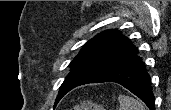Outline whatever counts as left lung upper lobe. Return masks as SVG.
<instances>
[{"mask_svg":"<svg viewBox=\"0 0 171 110\" xmlns=\"http://www.w3.org/2000/svg\"><path fill=\"white\" fill-rule=\"evenodd\" d=\"M137 52L135 46L117 30H106L87 43L69 64L70 73L62 83L55 104L71 89L88 83L121 64Z\"/></svg>","mask_w":171,"mask_h":110,"instance_id":"left-lung-upper-lobe-1","label":"left lung upper lobe"}]
</instances>
